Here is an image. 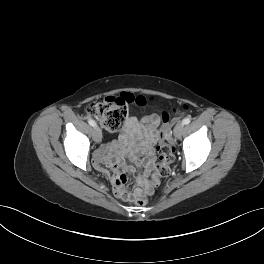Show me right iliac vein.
<instances>
[{
    "mask_svg": "<svg viewBox=\"0 0 264 264\" xmlns=\"http://www.w3.org/2000/svg\"><path fill=\"white\" fill-rule=\"evenodd\" d=\"M93 136H94V140H95L96 143H100L101 142V140H102V132H101L100 128L96 127L94 129V135Z\"/></svg>",
    "mask_w": 264,
    "mask_h": 264,
    "instance_id": "1",
    "label": "right iliac vein"
}]
</instances>
